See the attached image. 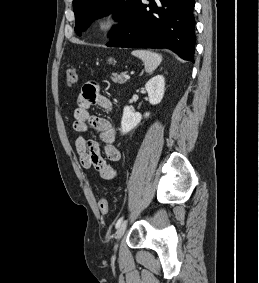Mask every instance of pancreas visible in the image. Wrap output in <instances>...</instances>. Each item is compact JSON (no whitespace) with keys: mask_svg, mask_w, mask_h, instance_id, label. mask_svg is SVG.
<instances>
[{"mask_svg":"<svg viewBox=\"0 0 259 283\" xmlns=\"http://www.w3.org/2000/svg\"><path fill=\"white\" fill-rule=\"evenodd\" d=\"M125 75H126L125 73H121V74L113 73L111 79L115 83L123 84L127 81Z\"/></svg>","mask_w":259,"mask_h":283,"instance_id":"1","label":"pancreas"}]
</instances>
